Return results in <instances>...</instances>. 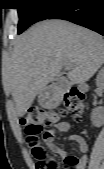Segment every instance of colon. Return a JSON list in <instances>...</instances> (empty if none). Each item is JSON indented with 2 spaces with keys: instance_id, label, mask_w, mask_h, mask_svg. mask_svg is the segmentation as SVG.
I'll use <instances>...</instances> for the list:
<instances>
[{
  "instance_id": "obj_1",
  "label": "colon",
  "mask_w": 104,
  "mask_h": 169,
  "mask_svg": "<svg viewBox=\"0 0 104 169\" xmlns=\"http://www.w3.org/2000/svg\"><path fill=\"white\" fill-rule=\"evenodd\" d=\"M84 105V94L78 89L72 88L66 92L64 98V106L61 112H46L41 108H32L28 110L20 122L26 134V144L31 149V154L35 159L36 169H59L58 160L54 157L57 148L54 146H44L41 143L40 135L44 127L53 125L60 115L68 112L74 115L76 121L81 119L82 110ZM51 136V132L44 133ZM68 165L67 169L75 167L78 163L76 157L70 156L65 159Z\"/></svg>"
}]
</instances>
